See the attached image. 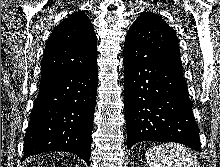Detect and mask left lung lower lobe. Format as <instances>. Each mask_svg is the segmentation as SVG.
I'll use <instances>...</instances> for the list:
<instances>
[{
    "instance_id": "left-lung-lower-lobe-1",
    "label": "left lung lower lobe",
    "mask_w": 220,
    "mask_h": 167,
    "mask_svg": "<svg viewBox=\"0 0 220 167\" xmlns=\"http://www.w3.org/2000/svg\"><path fill=\"white\" fill-rule=\"evenodd\" d=\"M124 90L128 149L140 141H168L201 151L180 68L124 54Z\"/></svg>"
}]
</instances>
